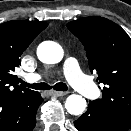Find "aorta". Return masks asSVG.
Here are the masks:
<instances>
[{"label": "aorta", "instance_id": "762f6f07", "mask_svg": "<svg viewBox=\"0 0 131 131\" xmlns=\"http://www.w3.org/2000/svg\"><path fill=\"white\" fill-rule=\"evenodd\" d=\"M37 56L43 63L55 64L62 60L63 49L55 42L45 41L38 46ZM65 108L71 115H80L86 108V100L80 95L72 94L66 99Z\"/></svg>", "mask_w": 131, "mask_h": 131}]
</instances>
